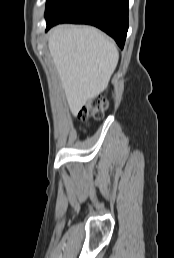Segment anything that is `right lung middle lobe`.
I'll list each match as a JSON object with an SVG mask.
<instances>
[{
    "instance_id": "dd1d6c3e",
    "label": "right lung middle lobe",
    "mask_w": 174,
    "mask_h": 258,
    "mask_svg": "<svg viewBox=\"0 0 174 258\" xmlns=\"http://www.w3.org/2000/svg\"><path fill=\"white\" fill-rule=\"evenodd\" d=\"M66 0H47L45 18L46 20L65 2Z\"/></svg>"
}]
</instances>
